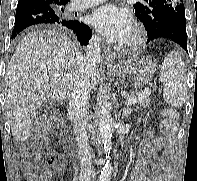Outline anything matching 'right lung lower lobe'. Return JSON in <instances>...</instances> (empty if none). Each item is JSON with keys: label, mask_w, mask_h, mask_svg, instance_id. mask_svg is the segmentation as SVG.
I'll list each match as a JSON object with an SVG mask.
<instances>
[{"label": "right lung lower lobe", "mask_w": 197, "mask_h": 181, "mask_svg": "<svg viewBox=\"0 0 197 181\" xmlns=\"http://www.w3.org/2000/svg\"><path fill=\"white\" fill-rule=\"evenodd\" d=\"M39 24L68 28L77 35L82 45H87L92 35L91 29L83 22L64 19L51 5L38 0H19L12 37L15 38L18 33L29 26Z\"/></svg>", "instance_id": "obj_1"}]
</instances>
